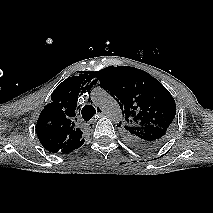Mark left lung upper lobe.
Returning a JSON list of instances; mask_svg holds the SVG:
<instances>
[{
  "label": "left lung upper lobe",
  "instance_id": "left-lung-upper-lobe-1",
  "mask_svg": "<svg viewBox=\"0 0 213 213\" xmlns=\"http://www.w3.org/2000/svg\"><path fill=\"white\" fill-rule=\"evenodd\" d=\"M97 80L119 103L125 121L118 127L130 146L148 151L167 142L174 131L176 104L158 80L130 66L104 68Z\"/></svg>",
  "mask_w": 213,
  "mask_h": 213
}]
</instances>
